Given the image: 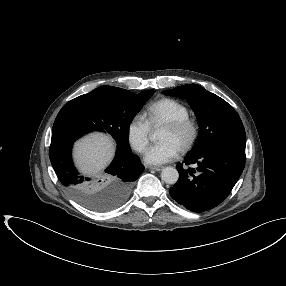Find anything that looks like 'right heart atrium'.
I'll list each match as a JSON object with an SVG mask.
<instances>
[{
  "label": "right heart atrium",
  "instance_id": "1",
  "mask_svg": "<svg viewBox=\"0 0 286 286\" xmlns=\"http://www.w3.org/2000/svg\"><path fill=\"white\" fill-rule=\"evenodd\" d=\"M150 124L141 114L135 115L127 126V139L131 147L143 153L149 144Z\"/></svg>",
  "mask_w": 286,
  "mask_h": 286
}]
</instances>
